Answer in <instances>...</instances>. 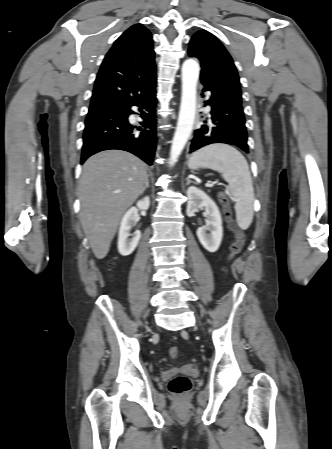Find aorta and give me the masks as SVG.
<instances>
[{"label": "aorta", "instance_id": "762f6f07", "mask_svg": "<svg viewBox=\"0 0 332 449\" xmlns=\"http://www.w3.org/2000/svg\"><path fill=\"white\" fill-rule=\"evenodd\" d=\"M200 67L193 59L182 65V96L177 127L170 150V162L173 165L182 153L193 129L196 114V87Z\"/></svg>", "mask_w": 332, "mask_h": 449}]
</instances>
